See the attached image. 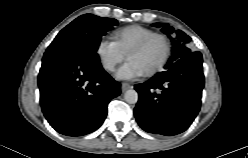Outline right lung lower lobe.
<instances>
[{
  "label": "right lung lower lobe",
  "instance_id": "1",
  "mask_svg": "<svg viewBox=\"0 0 248 158\" xmlns=\"http://www.w3.org/2000/svg\"><path fill=\"white\" fill-rule=\"evenodd\" d=\"M44 116L59 133L81 136L98 129L120 83L104 71L95 52L48 48L38 75Z\"/></svg>",
  "mask_w": 248,
  "mask_h": 158
}]
</instances>
